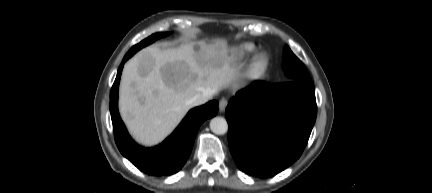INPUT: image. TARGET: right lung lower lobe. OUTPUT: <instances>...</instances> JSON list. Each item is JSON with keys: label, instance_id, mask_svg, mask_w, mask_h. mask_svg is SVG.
<instances>
[{"label": "right lung lower lobe", "instance_id": "right-lung-lower-lobe-1", "mask_svg": "<svg viewBox=\"0 0 432 193\" xmlns=\"http://www.w3.org/2000/svg\"><path fill=\"white\" fill-rule=\"evenodd\" d=\"M129 58V55H125L122 64L118 68L110 93L109 108L115 142L120 152L144 173L155 176L174 174L187 161L201 123L217 114L218 102L213 100L189 111L176 130L162 144L154 148L141 147L129 136L118 112L120 76L124 63Z\"/></svg>", "mask_w": 432, "mask_h": 193}]
</instances>
